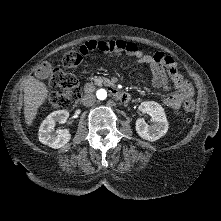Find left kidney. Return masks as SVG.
<instances>
[{"instance_id": "1", "label": "left kidney", "mask_w": 221, "mask_h": 221, "mask_svg": "<svg viewBox=\"0 0 221 221\" xmlns=\"http://www.w3.org/2000/svg\"><path fill=\"white\" fill-rule=\"evenodd\" d=\"M139 110L152 117L151 125L145 123L144 119H137L136 131L141 138L153 142L166 134L169 124L160 104L154 101H145L140 104Z\"/></svg>"}]
</instances>
